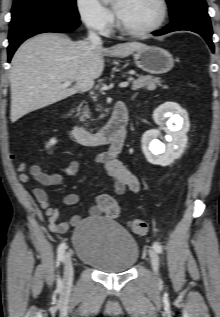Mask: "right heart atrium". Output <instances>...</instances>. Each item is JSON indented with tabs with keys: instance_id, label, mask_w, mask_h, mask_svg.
<instances>
[{
	"instance_id": "1",
	"label": "right heart atrium",
	"mask_w": 220,
	"mask_h": 317,
	"mask_svg": "<svg viewBox=\"0 0 220 317\" xmlns=\"http://www.w3.org/2000/svg\"><path fill=\"white\" fill-rule=\"evenodd\" d=\"M76 9L87 28L102 34L111 29L113 18L98 0H76Z\"/></svg>"
}]
</instances>
